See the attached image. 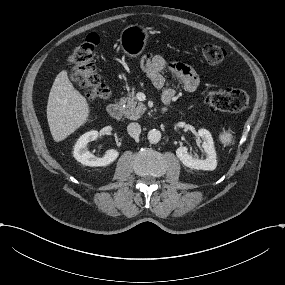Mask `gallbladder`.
Instances as JSON below:
<instances>
[{
	"label": "gallbladder",
	"instance_id": "gallbladder-1",
	"mask_svg": "<svg viewBox=\"0 0 285 285\" xmlns=\"http://www.w3.org/2000/svg\"><path fill=\"white\" fill-rule=\"evenodd\" d=\"M71 80L77 83H81L82 81L80 80V78L77 75H71Z\"/></svg>",
	"mask_w": 285,
	"mask_h": 285
}]
</instances>
